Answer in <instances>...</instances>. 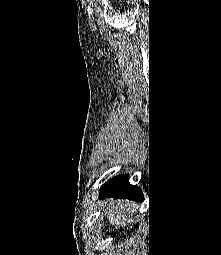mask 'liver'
<instances>
[{
  "mask_svg": "<svg viewBox=\"0 0 221 255\" xmlns=\"http://www.w3.org/2000/svg\"><path fill=\"white\" fill-rule=\"evenodd\" d=\"M104 205L106 207L107 218L112 225H116L117 229L123 226L124 222L133 224L134 218H137L136 213L139 206L135 202L107 199Z\"/></svg>",
  "mask_w": 221,
  "mask_h": 255,
  "instance_id": "1",
  "label": "liver"
}]
</instances>
